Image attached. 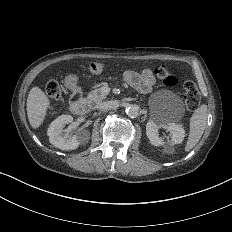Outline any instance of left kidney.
I'll return each instance as SVG.
<instances>
[{"label": "left kidney", "mask_w": 232, "mask_h": 232, "mask_svg": "<svg viewBox=\"0 0 232 232\" xmlns=\"http://www.w3.org/2000/svg\"><path fill=\"white\" fill-rule=\"evenodd\" d=\"M165 128L171 132V141H165L159 137V130ZM146 135L154 146L181 144L185 138L184 125L181 122L150 120L146 125Z\"/></svg>", "instance_id": "obj_1"}]
</instances>
